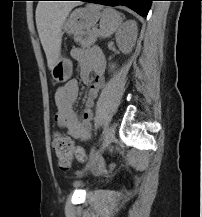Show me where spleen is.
Instances as JSON below:
<instances>
[{"instance_id":"3e777b00","label":"spleen","mask_w":202,"mask_h":217,"mask_svg":"<svg viewBox=\"0 0 202 217\" xmlns=\"http://www.w3.org/2000/svg\"><path fill=\"white\" fill-rule=\"evenodd\" d=\"M96 9H103L100 20V29L102 37H109L121 25L122 19L120 14L112 8H103L97 5H90Z\"/></svg>"}]
</instances>
